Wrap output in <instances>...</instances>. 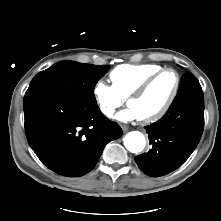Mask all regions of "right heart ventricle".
<instances>
[{"mask_svg": "<svg viewBox=\"0 0 221 221\" xmlns=\"http://www.w3.org/2000/svg\"><path fill=\"white\" fill-rule=\"evenodd\" d=\"M160 69L162 66L157 64H123L111 71L110 79L116 91L123 98H126L150 75Z\"/></svg>", "mask_w": 221, "mask_h": 221, "instance_id": "obj_1", "label": "right heart ventricle"}]
</instances>
